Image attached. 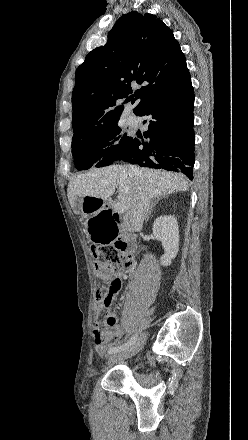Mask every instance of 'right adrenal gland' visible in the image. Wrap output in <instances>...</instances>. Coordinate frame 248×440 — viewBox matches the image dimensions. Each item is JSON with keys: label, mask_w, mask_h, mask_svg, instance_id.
<instances>
[{"label": "right adrenal gland", "mask_w": 248, "mask_h": 440, "mask_svg": "<svg viewBox=\"0 0 248 440\" xmlns=\"http://www.w3.org/2000/svg\"><path fill=\"white\" fill-rule=\"evenodd\" d=\"M163 197L162 196H157V197H155V199L153 200V202H152V204H151V207H150V210H149V212H148V214H147V216H146V218H145V222H148V220H149V218H150V216H151V213H152V211H153V208L157 205V203L160 201V199H162Z\"/></svg>", "instance_id": "right-adrenal-gland-1"}]
</instances>
